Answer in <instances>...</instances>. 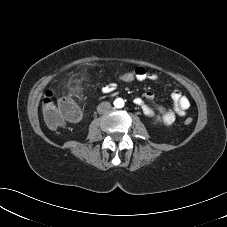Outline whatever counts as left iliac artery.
<instances>
[{
	"label": "left iliac artery",
	"mask_w": 227,
	"mask_h": 227,
	"mask_svg": "<svg viewBox=\"0 0 227 227\" xmlns=\"http://www.w3.org/2000/svg\"><path fill=\"white\" fill-rule=\"evenodd\" d=\"M124 106V102L121 103L120 107H123Z\"/></svg>",
	"instance_id": "left-iliac-artery-1"
}]
</instances>
